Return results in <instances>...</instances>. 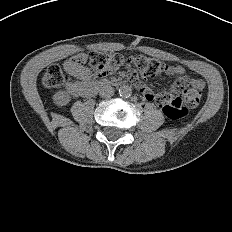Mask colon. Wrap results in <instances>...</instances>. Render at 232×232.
<instances>
[{"instance_id":"obj_1","label":"colon","mask_w":232,"mask_h":232,"mask_svg":"<svg viewBox=\"0 0 232 232\" xmlns=\"http://www.w3.org/2000/svg\"><path fill=\"white\" fill-rule=\"evenodd\" d=\"M127 60L136 62V69L145 77L161 75L167 66L161 61L146 56L125 58L123 55L111 52H91L88 59L77 56L75 62L83 65L88 61L95 73L105 76L113 73ZM65 66L53 64L49 66L43 75L42 82L46 87H59L67 81ZM202 90L189 84L188 79H178L170 93H163L156 97V102L162 108L163 113L169 119H180L187 115L188 110L199 104Z\"/></svg>"}]
</instances>
